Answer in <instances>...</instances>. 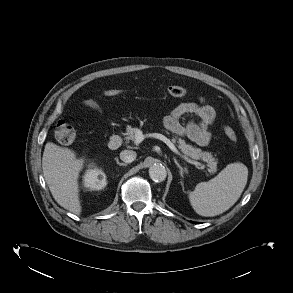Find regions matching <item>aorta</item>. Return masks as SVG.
Masks as SVG:
<instances>
[{
  "label": "aorta",
  "instance_id": "1",
  "mask_svg": "<svg viewBox=\"0 0 293 293\" xmlns=\"http://www.w3.org/2000/svg\"><path fill=\"white\" fill-rule=\"evenodd\" d=\"M149 176L155 182H162L166 179L167 171L162 164H153L149 168Z\"/></svg>",
  "mask_w": 293,
  "mask_h": 293
}]
</instances>
